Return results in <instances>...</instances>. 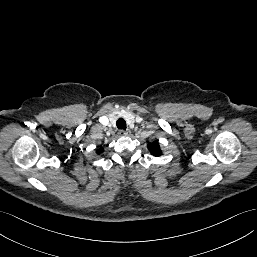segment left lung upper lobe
Segmentation results:
<instances>
[{
	"label": "left lung upper lobe",
	"instance_id": "obj_1",
	"mask_svg": "<svg viewBox=\"0 0 257 257\" xmlns=\"http://www.w3.org/2000/svg\"><path fill=\"white\" fill-rule=\"evenodd\" d=\"M147 147H148L149 151L151 152V154L154 156H160L162 154L157 140L152 143H148Z\"/></svg>",
	"mask_w": 257,
	"mask_h": 257
}]
</instances>
